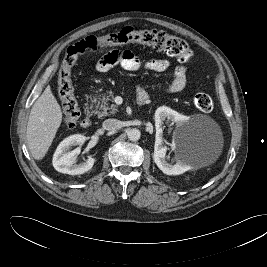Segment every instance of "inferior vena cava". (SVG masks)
Instances as JSON below:
<instances>
[{
    "mask_svg": "<svg viewBox=\"0 0 267 267\" xmlns=\"http://www.w3.org/2000/svg\"><path fill=\"white\" fill-rule=\"evenodd\" d=\"M102 126L105 130L111 131L119 129L121 127V123L117 119H107L103 122Z\"/></svg>",
    "mask_w": 267,
    "mask_h": 267,
    "instance_id": "1",
    "label": "inferior vena cava"
}]
</instances>
